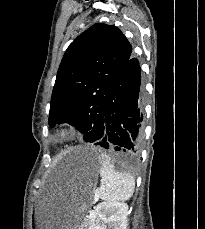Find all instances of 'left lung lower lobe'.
<instances>
[{
  "label": "left lung lower lobe",
  "mask_w": 205,
  "mask_h": 229,
  "mask_svg": "<svg viewBox=\"0 0 205 229\" xmlns=\"http://www.w3.org/2000/svg\"><path fill=\"white\" fill-rule=\"evenodd\" d=\"M142 131L141 69L130 57L109 91L103 121L88 132L89 140L133 161L140 152Z\"/></svg>",
  "instance_id": "1"
}]
</instances>
